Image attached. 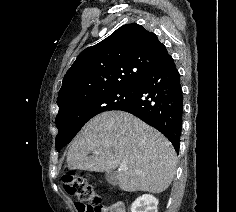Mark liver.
Here are the masks:
<instances>
[{"label":"liver","mask_w":236,"mask_h":212,"mask_svg":"<svg viewBox=\"0 0 236 212\" xmlns=\"http://www.w3.org/2000/svg\"><path fill=\"white\" fill-rule=\"evenodd\" d=\"M92 156H88L90 152ZM117 174L123 191L161 193L171 184L176 171V153L159 131L123 111L103 112L88 121L74 138L68 153L70 170Z\"/></svg>","instance_id":"1"}]
</instances>
